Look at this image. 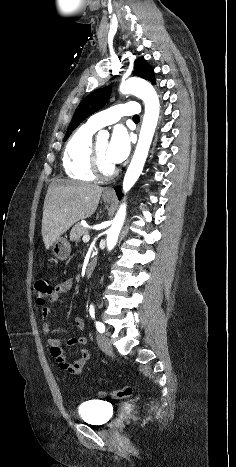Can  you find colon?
Masks as SVG:
<instances>
[{"label": "colon", "instance_id": "1", "mask_svg": "<svg viewBox=\"0 0 236 467\" xmlns=\"http://www.w3.org/2000/svg\"><path fill=\"white\" fill-rule=\"evenodd\" d=\"M35 290H36L37 302L40 305H43L46 301H48L53 292L52 284L46 278L38 279L35 282ZM132 393H133L132 387L126 386L122 389L109 393V396L115 399H121V398H126V397L131 396Z\"/></svg>", "mask_w": 236, "mask_h": 467}]
</instances>
